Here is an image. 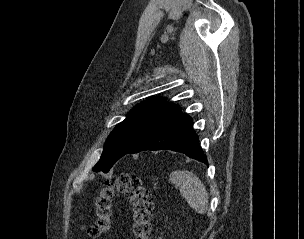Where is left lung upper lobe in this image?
I'll return each instance as SVG.
<instances>
[{
    "instance_id": "5c2ea615",
    "label": "left lung upper lobe",
    "mask_w": 304,
    "mask_h": 239,
    "mask_svg": "<svg viewBox=\"0 0 304 239\" xmlns=\"http://www.w3.org/2000/svg\"><path fill=\"white\" fill-rule=\"evenodd\" d=\"M179 115L180 108L167 103L162 97L149 98L136 105L108 136L93 171L107 173L136 144Z\"/></svg>"
}]
</instances>
